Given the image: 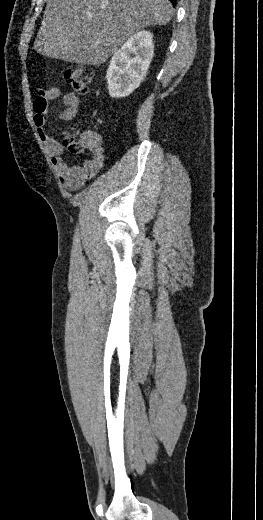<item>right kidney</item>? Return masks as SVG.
Wrapping results in <instances>:
<instances>
[{
    "label": "right kidney",
    "mask_w": 263,
    "mask_h": 520,
    "mask_svg": "<svg viewBox=\"0 0 263 520\" xmlns=\"http://www.w3.org/2000/svg\"><path fill=\"white\" fill-rule=\"evenodd\" d=\"M153 36L142 30L131 36L110 60L106 79L112 98L130 95L144 80L153 58ZM134 57H131V55Z\"/></svg>",
    "instance_id": "ca27d5eb"
}]
</instances>
